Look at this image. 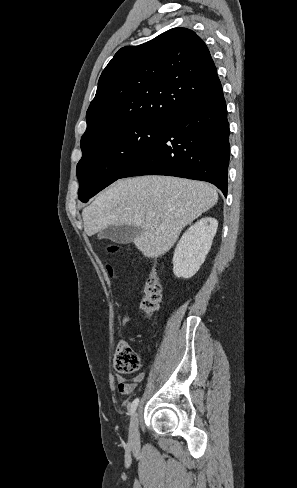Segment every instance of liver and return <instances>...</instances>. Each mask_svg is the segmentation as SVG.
<instances>
[{"label": "liver", "instance_id": "6515ba94", "mask_svg": "<svg viewBox=\"0 0 297 488\" xmlns=\"http://www.w3.org/2000/svg\"><path fill=\"white\" fill-rule=\"evenodd\" d=\"M217 200L216 189L205 182L169 176L120 179L83 209L84 230L92 236L113 225L142 227L135 246L146 257H158Z\"/></svg>", "mask_w": 297, "mask_h": 488}]
</instances>
